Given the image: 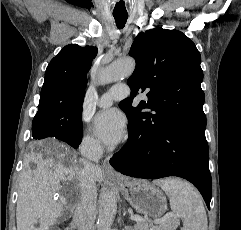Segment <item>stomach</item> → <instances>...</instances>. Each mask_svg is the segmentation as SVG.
I'll list each match as a JSON object with an SVG mask.
<instances>
[{
	"instance_id": "stomach-1",
	"label": "stomach",
	"mask_w": 241,
	"mask_h": 230,
	"mask_svg": "<svg viewBox=\"0 0 241 230\" xmlns=\"http://www.w3.org/2000/svg\"><path fill=\"white\" fill-rule=\"evenodd\" d=\"M124 198L140 214L158 218L167 211L163 192L145 180H123L117 183Z\"/></svg>"
}]
</instances>
